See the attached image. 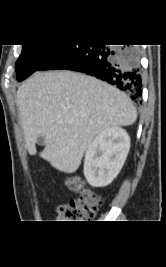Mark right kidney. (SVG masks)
<instances>
[{"mask_svg": "<svg viewBox=\"0 0 166 267\" xmlns=\"http://www.w3.org/2000/svg\"><path fill=\"white\" fill-rule=\"evenodd\" d=\"M130 149V138L120 127L100 132L89 145L84 160V176L94 187L110 184L118 175Z\"/></svg>", "mask_w": 166, "mask_h": 267, "instance_id": "right-kidney-1", "label": "right kidney"}]
</instances>
